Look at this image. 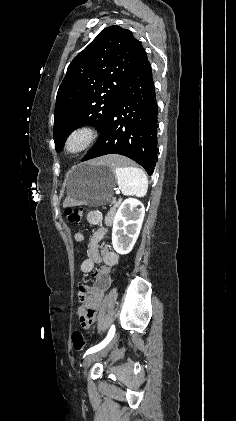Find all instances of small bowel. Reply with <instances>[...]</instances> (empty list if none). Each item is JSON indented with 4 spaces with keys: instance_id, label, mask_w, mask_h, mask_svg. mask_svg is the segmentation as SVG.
I'll return each mask as SVG.
<instances>
[{
    "instance_id": "obj_1",
    "label": "small bowel",
    "mask_w": 236,
    "mask_h": 421,
    "mask_svg": "<svg viewBox=\"0 0 236 421\" xmlns=\"http://www.w3.org/2000/svg\"><path fill=\"white\" fill-rule=\"evenodd\" d=\"M101 214L98 211H91L88 213L87 215V220L90 224L92 225H99L101 223ZM105 234V230L104 229H100L98 230L97 234H96V238H100ZM76 239L78 241H80L82 239V234L78 233L76 235ZM88 291V288L84 285H80L79 286V296L81 299H83L85 293ZM78 315L81 317L83 316V311L81 309L78 310Z\"/></svg>"
}]
</instances>
